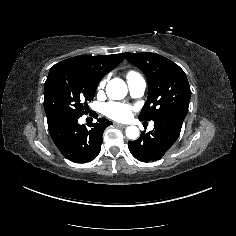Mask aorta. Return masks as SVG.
Masks as SVG:
<instances>
[{"instance_id": "1", "label": "aorta", "mask_w": 236, "mask_h": 236, "mask_svg": "<svg viewBox=\"0 0 236 236\" xmlns=\"http://www.w3.org/2000/svg\"><path fill=\"white\" fill-rule=\"evenodd\" d=\"M124 86L126 87V84L121 79L115 78V79L110 80L107 84V87H106V93H107L108 97L113 99L114 95H123V93H124L123 87ZM126 92H127V88H126ZM125 133H126V137L131 140L137 139L140 135L139 128L134 125L128 126L126 128Z\"/></svg>"}]
</instances>
